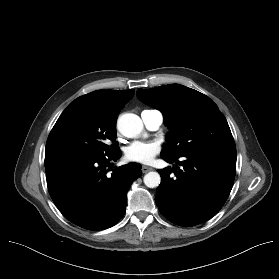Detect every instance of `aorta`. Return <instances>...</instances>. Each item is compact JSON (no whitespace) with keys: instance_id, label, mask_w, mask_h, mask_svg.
I'll list each match as a JSON object with an SVG mask.
<instances>
[{"instance_id":"obj_1","label":"aorta","mask_w":279,"mask_h":279,"mask_svg":"<svg viewBox=\"0 0 279 279\" xmlns=\"http://www.w3.org/2000/svg\"><path fill=\"white\" fill-rule=\"evenodd\" d=\"M119 132L127 138H136L143 130L141 118L133 113L122 114L117 121ZM144 184L149 188L158 187L161 177L157 172H149L143 178Z\"/></svg>"}]
</instances>
